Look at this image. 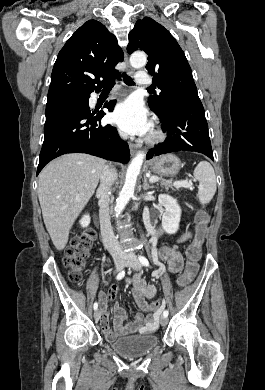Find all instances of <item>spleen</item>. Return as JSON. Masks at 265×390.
Wrapping results in <instances>:
<instances>
[{
    "label": "spleen",
    "mask_w": 265,
    "mask_h": 390,
    "mask_svg": "<svg viewBox=\"0 0 265 390\" xmlns=\"http://www.w3.org/2000/svg\"><path fill=\"white\" fill-rule=\"evenodd\" d=\"M194 178L199 181L198 198L202 204L211 201L216 192V176L213 167L207 161L198 163L193 172Z\"/></svg>",
    "instance_id": "1"
}]
</instances>
